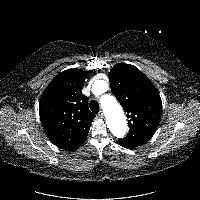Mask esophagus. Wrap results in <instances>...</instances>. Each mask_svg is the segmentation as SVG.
<instances>
[{"mask_svg":"<svg viewBox=\"0 0 200 200\" xmlns=\"http://www.w3.org/2000/svg\"><path fill=\"white\" fill-rule=\"evenodd\" d=\"M99 117L103 118L104 117V113L103 111L101 110L99 113H98Z\"/></svg>","mask_w":200,"mask_h":200,"instance_id":"1","label":"esophagus"}]
</instances>
